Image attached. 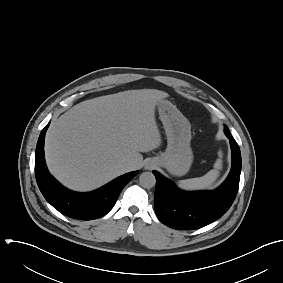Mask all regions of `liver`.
<instances>
[{
	"mask_svg": "<svg viewBox=\"0 0 283 283\" xmlns=\"http://www.w3.org/2000/svg\"><path fill=\"white\" fill-rule=\"evenodd\" d=\"M156 89L128 90L78 103L54 120L46 134L50 172L66 187L90 191L140 168L143 156L161 144L155 108L167 98Z\"/></svg>",
	"mask_w": 283,
	"mask_h": 283,
	"instance_id": "1",
	"label": "liver"
}]
</instances>
